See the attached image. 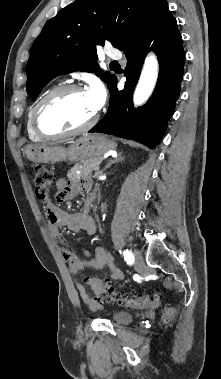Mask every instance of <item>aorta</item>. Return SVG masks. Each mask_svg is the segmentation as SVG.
Wrapping results in <instances>:
<instances>
[{
  "mask_svg": "<svg viewBox=\"0 0 221 379\" xmlns=\"http://www.w3.org/2000/svg\"><path fill=\"white\" fill-rule=\"evenodd\" d=\"M158 77V61L154 54L146 57L144 66L136 86L133 102L135 105L143 104L153 92Z\"/></svg>",
  "mask_w": 221,
  "mask_h": 379,
  "instance_id": "obj_1",
  "label": "aorta"
}]
</instances>
